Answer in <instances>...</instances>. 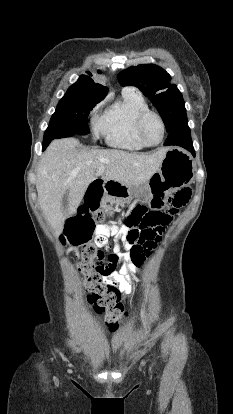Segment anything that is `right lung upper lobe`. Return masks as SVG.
<instances>
[{"label": "right lung upper lobe", "mask_w": 233, "mask_h": 414, "mask_svg": "<svg viewBox=\"0 0 233 414\" xmlns=\"http://www.w3.org/2000/svg\"><path fill=\"white\" fill-rule=\"evenodd\" d=\"M89 76L87 75H81L79 80L73 84L69 89L76 92H82L89 95H92L94 98L98 100H102L105 98L108 92V88L95 83L90 76L92 74L90 72H87Z\"/></svg>", "instance_id": "obj_1"}]
</instances>
